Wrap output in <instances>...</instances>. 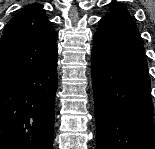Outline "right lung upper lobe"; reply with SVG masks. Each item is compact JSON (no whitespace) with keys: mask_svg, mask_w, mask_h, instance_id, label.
<instances>
[{"mask_svg":"<svg viewBox=\"0 0 155 149\" xmlns=\"http://www.w3.org/2000/svg\"><path fill=\"white\" fill-rule=\"evenodd\" d=\"M57 33L40 4H31L6 25L0 42V78L57 56Z\"/></svg>","mask_w":155,"mask_h":149,"instance_id":"1","label":"right lung upper lobe"}]
</instances>
